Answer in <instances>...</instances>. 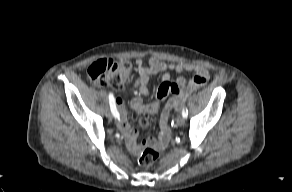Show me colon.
I'll list each match as a JSON object with an SVG mask.
<instances>
[{
	"label": "colon",
	"mask_w": 292,
	"mask_h": 192,
	"mask_svg": "<svg viewBox=\"0 0 292 192\" xmlns=\"http://www.w3.org/2000/svg\"><path fill=\"white\" fill-rule=\"evenodd\" d=\"M130 73L131 66L128 62H119L107 58L93 62L87 70L88 78L94 84L110 86L115 89H121L125 85L130 77ZM146 124L147 120L143 119L142 125ZM158 157L159 149L156 146L146 147L138 157V164L142 167H149Z\"/></svg>",
	"instance_id": "obj_1"
}]
</instances>
